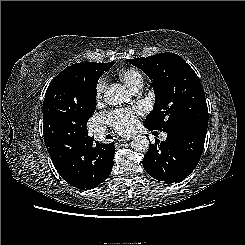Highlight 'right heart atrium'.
Returning a JSON list of instances; mask_svg holds the SVG:
<instances>
[{"mask_svg": "<svg viewBox=\"0 0 245 245\" xmlns=\"http://www.w3.org/2000/svg\"><path fill=\"white\" fill-rule=\"evenodd\" d=\"M106 87V80L104 77H101L97 83H96V87H95V93L97 97H100L104 91Z\"/></svg>", "mask_w": 245, "mask_h": 245, "instance_id": "1", "label": "right heart atrium"}]
</instances>
